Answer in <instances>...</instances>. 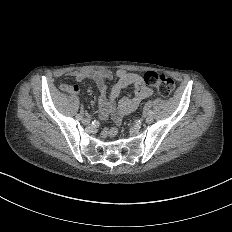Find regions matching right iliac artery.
Masks as SVG:
<instances>
[{"label":"right iliac artery","mask_w":232,"mask_h":232,"mask_svg":"<svg viewBox=\"0 0 232 232\" xmlns=\"http://www.w3.org/2000/svg\"><path fill=\"white\" fill-rule=\"evenodd\" d=\"M83 117L80 114L76 115V119L81 120Z\"/></svg>","instance_id":"obj_1"}]
</instances>
